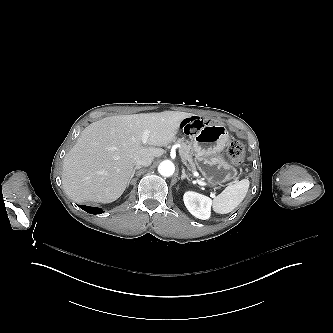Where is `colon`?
I'll list each match as a JSON object with an SVG mask.
<instances>
[{"instance_id": "5ec220e1", "label": "colon", "mask_w": 333, "mask_h": 333, "mask_svg": "<svg viewBox=\"0 0 333 333\" xmlns=\"http://www.w3.org/2000/svg\"><path fill=\"white\" fill-rule=\"evenodd\" d=\"M244 153L245 148L240 141L233 140L229 143L227 147V154L230 159L237 163H240L243 159Z\"/></svg>"}]
</instances>
